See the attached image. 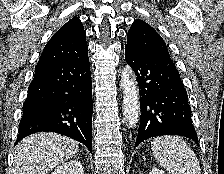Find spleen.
I'll return each mask as SVG.
<instances>
[{
    "label": "spleen",
    "instance_id": "obj_1",
    "mask_svg": "<svg viewBox=\"0 0 224 174\" xmlns=\"http://www.w3.org/2000/svg\"><path fill=\"white\" fill-rule=\"evenodd\" d=\"M153 156L169 174H201L194 151L179 137L160 136L151 142Z\"/></svg>",
    "mask_w": 224,
    "mask_h": 174
}]
</instances>
